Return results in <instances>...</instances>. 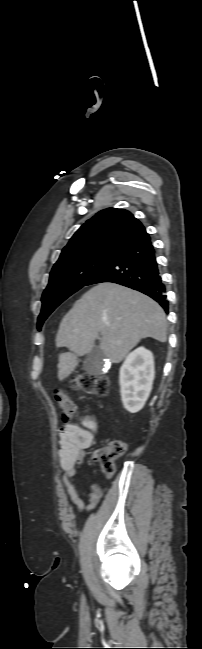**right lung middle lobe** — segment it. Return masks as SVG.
Here are the masks:
<instances>
[{
    "instance_id": "obj_1",
    "label": "right lung middle lobe",
    "mask_w": 202,
    "mask_h": 649,
    "mask_svg": "<svg viewBox=\"0 0 202 649\" xmlns=\"http://www.w3.org/2000/svg\"><path fill=\"white\" fill-rule=\"evenodd\" d=\"M115 253L91 251L58 260L52 268L47 288L42 296L38 330L50 313L70 295L85 286L93 274Z\"/></svg>"
}]
</instances>
